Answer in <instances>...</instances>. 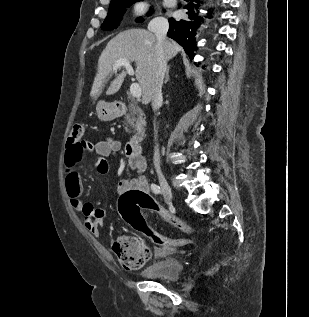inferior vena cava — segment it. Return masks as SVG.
Here are the masks:
<instances>
[{"label": "inferior vena cava", "instance_id": "inferior-vena-cava-1", "mask_svg": "<svg viewBox=\"0 0 309 317\" xmlns=\"http://www.w3.org/2000/svg\"><path fill=\"white\" fill-rule=\"evenodd\" d=\"M169 28L168 21L163 17L154 18L148 25L149 31L153 32L159 44H166V34ZM167 72V61L164 56L163 49L161 48L157 54V65L155 69L153 95H152V108L157 111L159 105L162 103V85L165 73ZM157 134V132H156ZM153 162L155 169L160 170V153L158 145L154 149Z\"/></svg>", "mask_w": 309, "mask_h": 317}]
</instances>
